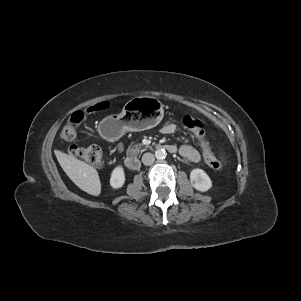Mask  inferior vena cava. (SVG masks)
Masks as SVG:
<instances>
[{"label": "inferior vena cava", "instance_id": "inferior-vena-cava-1", "mask_svg": "<svg viewBox=\"0 0 301 301\" xmlns=\"http://www.w3.org/2000/svg\"><path fill=\"white\" fill-rule=\"evenodd\" d=\"M154 160H155V157L152 153L147 152V153L143 154V156H142V162L144 165H151V164H153Z\"/></svg>", "mask_w": 301, "mask_h": 301}]
</instances>
